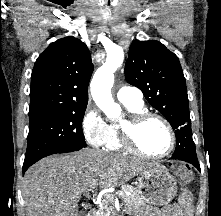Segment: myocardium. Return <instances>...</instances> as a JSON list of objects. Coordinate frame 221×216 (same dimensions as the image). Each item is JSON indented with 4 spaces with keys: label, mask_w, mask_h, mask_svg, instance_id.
Wrapping results in <instances>:
<instances>
[{
    "label": "myocardium",
    "mask_w": 221,
    "mask_h": 216,
    "mask_svg": "<svg viewBox=\"0 0 221 216\" xmlns=\"http://www.w3.org/2000/svg\"><path fill=\"white\" fill-rule=\"evenodd\" d=\"M156 119L161 121L168 130L170 137V144L168 149L161 154H153L149 153L142 148L138 141V134L143 126V124L150 120ZM119 135L122 142V145L125 149L132 151L140 156L152 158V159H160L169 156L176 145V134L171 123L164 116L151 112L148 110H143L138 113L129 114L127 117L123 118L119 121Z\"/></svg>",
    "instance_id": "obj_1"
}]
</instances>
